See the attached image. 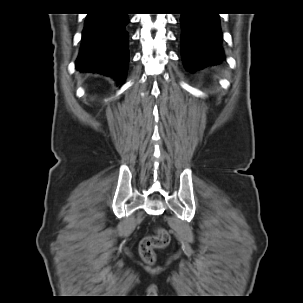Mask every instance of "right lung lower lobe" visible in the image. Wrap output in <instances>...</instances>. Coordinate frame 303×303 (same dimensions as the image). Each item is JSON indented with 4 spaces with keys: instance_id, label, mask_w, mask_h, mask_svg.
Listing matches in <instances>:
<instances>
[{
    "instance_id": "right-lung-lower-lobe-1",
    "label": "right lung lower lobe",
    "mask_w": 303,
    "mask_h": 303,
    "mask_svg": "<svg viewBox=\"0 0 303 303\" xmlns=\"http://www.w3.org/2000/svg\"><path fill=\"white\" fill-rule=\"evenodd\" d=\"M128 22L123 13L88 14L76 69L110 76L123 83L129 62Z\"/></svg>"
}]
</instances>
